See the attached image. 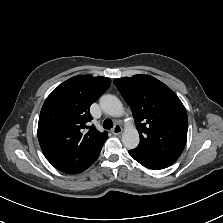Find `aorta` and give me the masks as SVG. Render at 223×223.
<instances>
[{"mask_svg":"<svg viewBox=\"0 0 223 223\" xmlns=\"http://www.w3.org/2000/svg\"><path fill=\"white\" fill-rule=\"evenodd\" d=\"M102 110L113 118L125 115L123 103L114 95H103L100 99ZM139 132L133 123L131 126L124 125L122 142L127 149L135 148L139 144Z\"/></svg>","mask_w":223,"mask_h":223,"instance_id":"1","label":"aorta"}]
</instances>
